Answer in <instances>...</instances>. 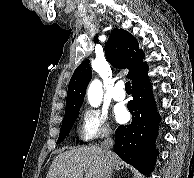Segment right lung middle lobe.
<instances>
[{
    "label": "right lung middle lobe",
    "instance_id": "dd1d6c3e",
    "mask_svg": "<svg viewBox=\"0 0 194 178\" xmlns=\"http://www.w3.org/2000/svg\"><path fill=\"white\" fill-rule=\"evenodd\" d=\"M78 112H79V109L65 113V116L62 121L59 138L57 140V144L61 143L64 140V138L69 134L73 126V123L77 118Z\"/></svg>",
    "mask_w": 194,
    "mask_h": 178
}]
</instances>
